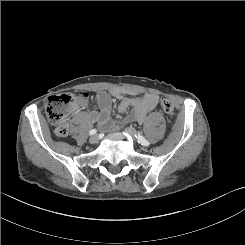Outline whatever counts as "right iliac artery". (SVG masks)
Segmentation results:
<instances>
[{
    "instance_id": "obj_1",
    "label": "right iliac artery",
    "mask_w": 245,
    "mask_h": 245,
    "mask_svg": "<svg viewBox=\"0 0 245 245\" xmlns=\"http://www.w3.org/2000/svg\"><path fill=\"white\" fill-rule=\"evenodd\" d=\"M96 132H97L96 129H92V130H90L89 134H90V135H94V134H96Z\"/></svg>"
}]
</instances>
